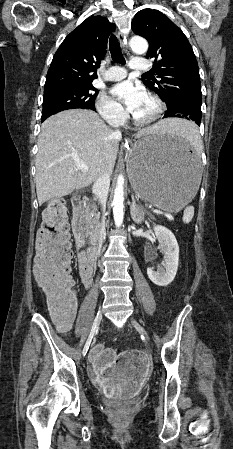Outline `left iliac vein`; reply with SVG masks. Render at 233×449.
Masks as SVG:
<instances>
[{
    "label": "left iliac vein",
    "instance_id": "left-iliac-vein-1",
    "mask_svg": "<svg viewBox=\"0 0 233 449\" xmlns=\"http://www.w3.org/2000/svg\"><path fill=\"white\" fill-rule=\"evenodd\" d=\"M130 322L134 326V328L136 330H138L145 337V339L147 341H150V336H149L148 332L145 330V328L137 320H135L134 318H131Z\"/></svg>",
    "mask_w": 233,
    "mask_h": 449
}]
</instances>
